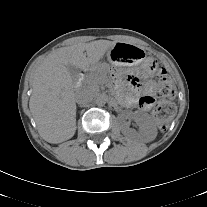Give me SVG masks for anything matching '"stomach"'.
<instances>
[{"label": "stomach", "instance_id": "obj_1", "mask_svg": "<svg viewBox=\"0 0 207 207\" xmlns=\"http://www.w3.org/2000/svg\"><path fill=\"white\" fill-rule=\"evenodd\" d=\"M106 55L108 60L116 66H137L148 60L145 50L121 42L115 43Z\"/></svg>", "mask_w": 207, "mask_h": 207}]
</instances>
